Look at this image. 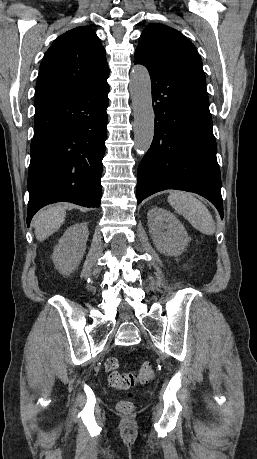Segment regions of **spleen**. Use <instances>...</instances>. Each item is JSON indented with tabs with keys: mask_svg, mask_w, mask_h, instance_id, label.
<instances>
[{
	"mask_svg": "<svg viewBox=\"0 0 257 459\" xmlns=\"http://www.w3.org/2000/svg\"><path fill=\"white\" fill-rule=\"evenodd\" d=\"M168 202L201 233L214 234L215 221L207 207L194 194L174 191L168 196Z\"/></svg>",
	"mask_w": 257,
	"mask_h": 459,
	"instance_id": "3e777b00",
	"label": "spleen"
}]
</instances>
